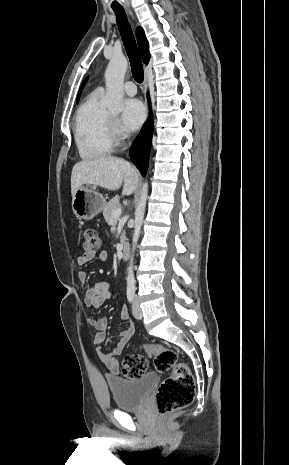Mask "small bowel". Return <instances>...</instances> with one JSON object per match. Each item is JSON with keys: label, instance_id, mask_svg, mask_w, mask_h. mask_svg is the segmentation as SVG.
<instances>
[{"label": "small bowel", "instance_id": "1", "mask_svg": "<svg viewBox=\"0 0 289 465\" xmlns=\"http://www.w3.org/2000/svg\"><path fill=\"white\" fill-rule=\"evenodd\" d=\"M97 257L99 262H105L108 259V254L105 251L101 252H85L82 256H80L77 260L79 266L83 267L88 262L93 260ZM78 280L81 283H86L87 281V273L84 270H80L77 274ZM111 283L107 281H99L94 284L93 287L88 288L85 292V304L88 307L98 308L100 307L106 300L111 297ZM121 319L125 322L129 323V327L122 330L119 334V339L115 345V347L108 353H101V359L108 368V370L112 374L119 373V363L117 357L123 352L125 346L132 338L135 327L133 322L131 321L127 310L123 307L121 311ZM88 323L96 329L95 333V343L98 347H101V344L106 339V331L108 328V320L107 318H89Z\"/></svg>", "mask_w": 289, "mask_h": 465}]
</instances>
